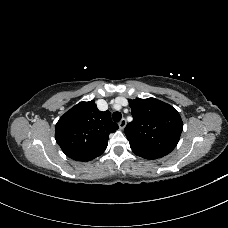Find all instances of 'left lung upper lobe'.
<instances>
[{"instance_id": "1", "label": "left lung upper lobe", "mask_w": 228, "mask_h": 228, "mask_svg": "<svg viewBox=\"0 0 228 228\" xmlns=\"http://www.w3.org/2000/svg\"><path fill=\"white\" fill-rule=\"evenodd\" d=\"M133 121L124 133L133 152L165 156L177 145L183 130L175 108L155 98L129 100Z\"/></svg>"}]
</instances>
